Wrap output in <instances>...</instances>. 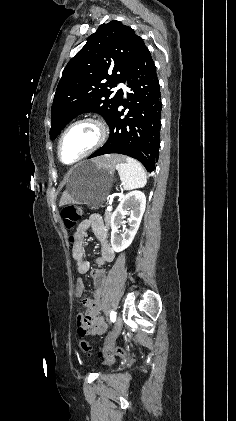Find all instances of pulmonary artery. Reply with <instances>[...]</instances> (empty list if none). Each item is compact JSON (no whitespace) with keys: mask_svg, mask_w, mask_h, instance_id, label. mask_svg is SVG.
<instances>
[{"mask_svg":"<svg viewBox=\"0 0 236 421\" xmlns=\"http://www.w3.org/2000/svg\"><path fill=\"white\" fill-rule=\"evenodd\" d=\"M124 95H125V98H126V89H125V94Z\"/></svg>","mask_w":236,"mask_h":421,"instance_id":"obj_1","label":"pulmonary artery"}]
</instances>
